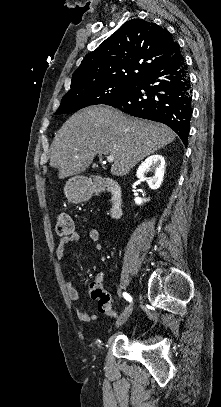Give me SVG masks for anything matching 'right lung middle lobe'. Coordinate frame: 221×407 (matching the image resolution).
I'll return each mask as SVG.
<instances>
[{"mask_svg":"<svg viewBox=\"0 0 221 407\" xmlns=\"http://www.w3.org/2000/svg\"><path fill=\"white\" fill-rule=\"evenodd\" d=\"M135 83H101L67 92L55 114L82 109L90 105L106 104L127 94Z\"/></svg>","mask_w":221,"mask_h":407,"instance_id":"obj_1","label":"right lung middle lobe"}]
</instances>
